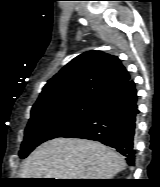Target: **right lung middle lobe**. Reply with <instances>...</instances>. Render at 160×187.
Wrapping results in <instances>:
<instances>
[{"mask_svg": "<svg viewBox=\"0 0 160 187\" xmlns=\"http://www.w3.org/2000/svg\"><path fill=\"white\" fill-rule=\"evenodd\" d=\"M97 101L74 100L58 105L32 108L19 156L25 158L41 143L57 138L86 116Z\"/></svg>", "mask_w": 160, "mask_h": 187, "instance_id": "dd1d6c3e", "label": "right lung middle lobe"}]
</instances>
